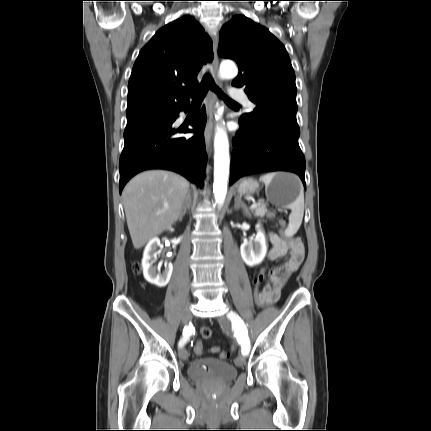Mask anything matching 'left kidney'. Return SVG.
<instances>
[{"mask_svg": "<svg viewBox=\"0 0 431 431\" xmlns=\"http://www.w3.org/2000/svg\"><path fill=\"white\" fill-rule=\"evenodd\" d=\"M257 234L253 242H244L240 246L241 257L249 267L260 264L267 253L266 237L261 226H256Z\"/></svg>", "mask_w": 431, "mask_h": 431, "instance_id": "1", "label": "left kidney"}]
</instances>
